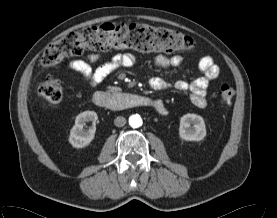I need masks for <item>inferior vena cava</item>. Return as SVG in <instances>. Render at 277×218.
<instances>
[{
  "instance_id": "inferior-vena-cava-1",
  "label": "inferior vena cava",
  "mask_w": 277,
  "mask_h": 218,
  "mask_svg": "<svg viewBox=\"0 0 277 218\" xmlns=\"http://www.w3.org/2000/svg\"><path fill=\"white\" fill-rule=\"evenodd\" d=\"M114 124L117 127H123L126 124V119L123 116H118L114 119Z\"/></svg>"
}]
</instances>
